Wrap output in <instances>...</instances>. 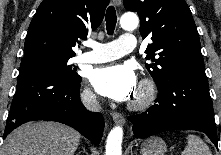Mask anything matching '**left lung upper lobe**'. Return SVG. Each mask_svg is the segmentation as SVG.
Returning a JSON list of instances; mask_svg holds the SVG:
<instances>
[{
  "mask_svg": "<svg viewBox=\"0 0 221 155\" xmlns=\"http://www.w3.org/2000/svg\"><path fill=\"white\" fill-rule=\"evenodd\" d=\"M127 10L137 12L147 46L146 68L158 89L176 74L204 71L199 35L185 0H123ZM156 57V58H155Z\"/></svg>",
  "mask_w": 221,
  "mask_h": 155,
  "instance_id": "obj_1",
  "label": "left lung upper lobe"
}]
</instances>
